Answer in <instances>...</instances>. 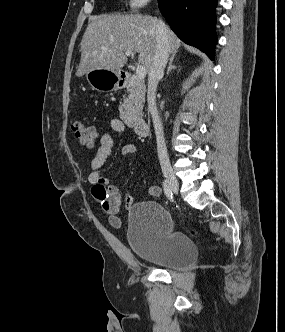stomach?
<instances>
[{"label": "stomach", "instance_id": "obj_1", "mask_svg": "<svg viewBox=\"0 0 285 332\" xmlns=\"http://www.w3.org/2000/svg\"><path fill=\"white\" fill-rule=\"evenodd\" d=\"M86 79L93 90L113 91L120 86L121 72L119 70L93 69L86 73Z\"/></svg>", "mask_w": 285, "mask_h": 332}]
</instances>
